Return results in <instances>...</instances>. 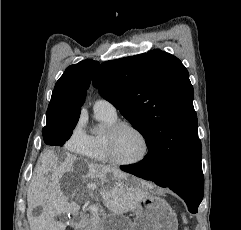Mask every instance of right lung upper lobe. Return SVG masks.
Wrapping results in <instances>:
<instances>
[{"label":"right lung upper lobe","instance_id":"obj_1","mask_svg":"<svg viewBox=\"0 0 241 230\" xmlns=\"http://www.w3.org/2000/svg\"><path fill=\"white\" fill-rule=\"evenodd\" d=\"M99 62L83 60L69 66L57 81L46 118L51 121H78L94 71Z\"/></svg>","mask_w":241,"mask_h":230}]
</instances>
